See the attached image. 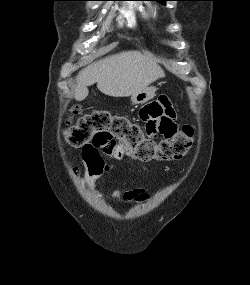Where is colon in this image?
Instances as JSON below:
<instances>
[{"instance_id":"1","label":"colon","mask_w":250,"mask_h":285,"mask_svg":"<svg viewBox=\"0 0 250 285\" xmlns=\"http://www.w3.org/2000/svg\"><path fill=\"white\" fill-rule=\"evenodd\" d=\"M64 136L74 147L103 149L114 154L123 145L125 153L140 161H172L189 151L194 129L184 125L176 136H165V141H152V136H144L142 127L127 117L96 110L70 124Z\"/></svg>"}]
</instances>
